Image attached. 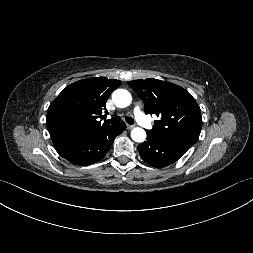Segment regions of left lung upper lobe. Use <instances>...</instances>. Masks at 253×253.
Returning a JSON list of instances; mask_svg holds the SVG:
<instances>
[{"instance_id": "1", "label": "left lung upper lobe", "mask_w": 253, "mask_h": 253, "mask_svg": "<svg viewBox=\"0 0 253 253\" xmlns=\"http://www.w3.org/2000/svg\"><path fill=\"white\" fill-rule=\"evenodd\" d=\"M143 100L146 114H156L152 135L191 147L199 138L202 117L192 95L182 87L157 79L129 81Z\"/></svg>"}]
</instances>
